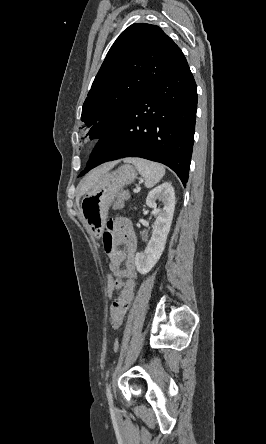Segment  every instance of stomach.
Masks as SVG:
<instances>
[{
	"mask_svg": "<svg viewBox=\"0 0 266 444\" xmlns=\"http://www.w3.org/2000/svg\"><path fill=\"white\" fill-rule=\"evenodd\" d=\"M137 177L135 168L125 164L117 170L107 172L86 193L81 201L82 219L93 235L98 236L104 230L110 205L118 192L134 182Z\"/></svg>",
	"mask_w": 266,
	"mask_h": 444,
	"instance_id": "0dacf381",
	"label": "stomach"
}]
</instances>
